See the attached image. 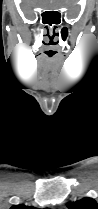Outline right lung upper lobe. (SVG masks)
<instances>
[{
    "instance_id": "obj_1",
    "label": "right lung upper lobe",
    "mask_w": 98,
    "mask_h": 209,
    "mask_svg": "<svg viewBox=\"0 0 98 209\" xmlns=\"http://www.w3.org/2000/svg\"><path fill=\"white\" fill-rule=\"evenodd\" d=\"M10 209H37V208L31 206H25V205H15L12 206ZM45 209H49V208H45Z\"/></svg>"
}]
</instances>
